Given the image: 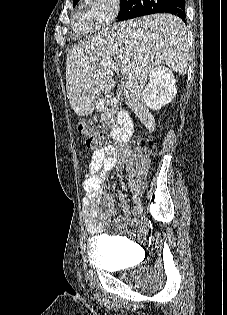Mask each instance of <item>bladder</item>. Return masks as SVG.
<instances>
[{"mask_svg": "<svg viewBox=\"0 0 227 315\" xmlns=\"http://www.w3.org/2000/svg\"><path fill=\"white\" fill-rule=\"evenodd\" d=\"M132 243L116 237L93 236L88 247V261L99 269H119L129 266L127 250Z\"/></svg>", "mask_w": 227, "mask_h": 315, "instance_id": "obj_1", "label": "bladder"}]
</instances>
